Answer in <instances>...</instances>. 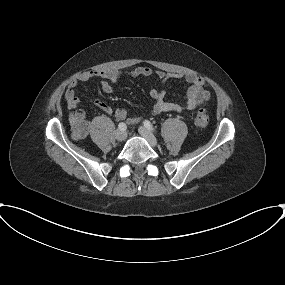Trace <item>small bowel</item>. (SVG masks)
I'll list each match as a JSON object with an SVG mask.
<instances>
[{"mask_svg": "<svg viewBox=\"0 0 285 285\" xmlns=\"http://www.w3.org/2000/svg\"><path fill=\"white\" fill-rule=\"evenodd\" d=\"M155 76L157 80L164 84L169 79H183L188 87L185 91V103L168 102L165 100V90L162 88H152L150 95L154 100V104L150 109L149 113L151 115H159L162 113L176 112V113H186L201 103L209 99L210 93L207 90V85L202 77L194 74H183L180 72H165L153 70L146 66H139L128 72H119L111 70H94L87 71L80 74L77 78L73 79L68 86L65 93V100L69 108L76 110L72 116V120L75 122L85 118V112L79 109V98L76 95L75 88L81 82H87L93 78H100L101 89L104 93L110 94L113 91V86L117 84L120 79L124 76L131 78H150ZM96 106L103 112L107 114H112L117 120H126L130 125L136 124L140 120V116L136 115L134 117H128V111L124 108H112L107 103L100 101L98 99L94 100Z\"/></svg>", "mask_w": 285, "mask_h": 285, "instance_id": "obj_1", "label": "small bowel"}]
</instances>
